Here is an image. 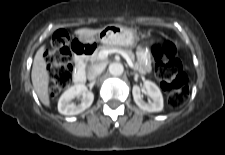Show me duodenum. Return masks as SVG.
I'll use <instances>...</instances> for the list:
<instances>
[{
  "label": "duodenum",
  "mask_w": 225,
  "mask_h": 155,
  "mask_svg": "<svg viewBox=\"0 0 225 155\" xmlns=\"http://www.w3.org/2000/svg\"><path fill=\"white\" fill-rule=\"evenodd\" d=\"M93 49V46L89 43H77L74 47L76 67L73 80L76 84H82L86 80L85 61L93 52Z\"/></svg>",
  "instance_id": "410a0bca"
}]
</instances>
